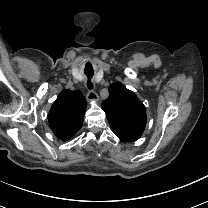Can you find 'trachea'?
Returning a JSON list of instances; mask_svg holds the SVG:
<instances>
[{
    "mask_svg": "<svg viewBox=\"0 0 208 208\" xmlns=\"http://www.w3.org/2000/svg\"><path fill=\"white\" fill-rule=\"evenodd\" d=\"M87 77H88V78H91L92 75H87ZM87 86H88L89 89H92V88H93V84H92L91 82H88V83H87Z\"/></svg>",
    "mask_w": 208,
    "mask_h": 208,
    "instance_id": "obj_1",
    "label": "trachea"
}]
</instances>
